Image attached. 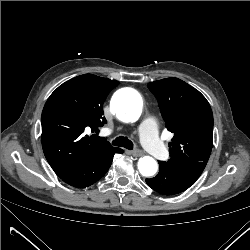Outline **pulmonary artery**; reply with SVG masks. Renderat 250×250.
Wrapping results in <instances>:
<instances>
[{
    "label": "pulmonary artery",
    "mask_w": 250,
    "mask_h": 250,
    "mask_svg": "<svg viewBox=\"0 0 250 250\" xmlns=\"http://www.w3.org/2000/svg\"><path fill=\"white\" fill-rule=\"evenodd\" d=\"M141 142L154 157H163L167 149L158 137V126L153 120H145L139 125Z\"/></svg>",
    "instance_id": "e3ab8cb5"
}]
</instances>
